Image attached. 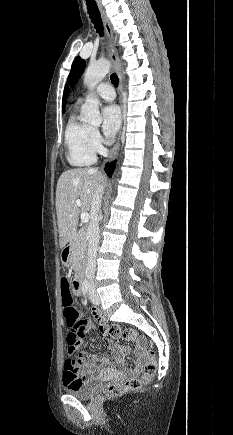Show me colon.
Returning <instances> with one entry per match:
<instances>
[{
  "instance_id": "5ec220e1",
  "label": "colon",
  "mask_w": 233,
  "mask_h": 435,
  "mask_svg": "<svg viewBox=\"0 0 233 435\" xmlns=\"http://www.w3.org/2000/svg\"><path fill=\"white\" fill-rule=\"evenodd\" d=\"M67 282V277L62 278ZM63 302L65 304L64 317L68 326H72L78 319L79 313L74 307V299L72 295L64 297ZM109 333L112 337H123L126 341H134L137 339V332L134 329H123L118 325H113L109 328ZM67 354L70 358L79 362V358L76 354V346L74 342L67 340L66 346ZM156 372L155 355L153 351L147 353V363L144 367L143 374L140 378H128L122 382H113L108 384L102 391L103 395L108 398L118 397L124 394H128L134 390L139 389L143 384H148L153 379Z\"/></svg>"
}]
</instances>
